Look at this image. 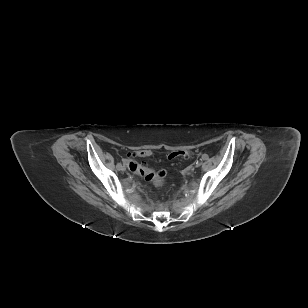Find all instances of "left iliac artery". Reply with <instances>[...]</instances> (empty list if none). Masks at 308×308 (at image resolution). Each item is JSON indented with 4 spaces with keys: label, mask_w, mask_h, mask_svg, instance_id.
Returning <instances> with one entry per match:
<instances>
[{
    "label": "left iliac artery",
    "mask_w": 308,
    "mask_h": 308,
    "mask_svg": "<svg viewBox=\"0 0 308 308\" xmlns=\"http://www.w3.org/2000/svg\"><path fill=\"white\" fill-rule=\"evenodd\" d=\"M202 159H203V160H204V159H205V160H208V159H209V156H208V155H203V156H202Z\"/></svg>",
    "instance_id": "left-iliac-artery-1"
}]
</instances>
